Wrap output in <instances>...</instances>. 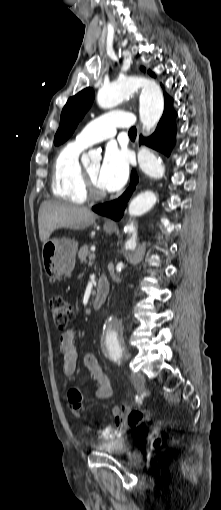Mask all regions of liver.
<instances>
[{
    "mask_svg": "<svg viewBox=\"0 0 221 510\" xmlns=\"http://www.w3.org/2000/svg\"><path fill=\"white\" fill-rule=\"evenodd\" d=\"M96 218L97 215L86 207L61 201H44L38 213L39 238L45 243L56 229H85Z\"/></svg>",
    "mask_w": 221,
    "mask_h": 510,
    "instance_id": "1",
    "label": "liver"
}]
</instances>
